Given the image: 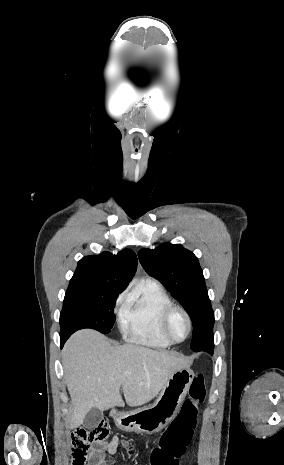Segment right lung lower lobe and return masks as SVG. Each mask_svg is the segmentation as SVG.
<instances>
[{
  "label": "right lung lower lobe",
  "mask_w": 284,
  "mask_h": 465,
  "mask_svg": "<svg viewBox=\"0 0 284 465\" xmlns=\"http://www.w3.org/2000/svg\"><path fill=\"white\" fill-rule=\"evenodd\" d=\"M71 335H65V336H60V345H61V348L63 347L64 343L67 341V339L70 337Z\"/></svg>",
  "instance_id": "1"
}]
</instances>
